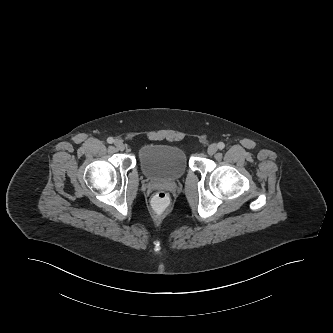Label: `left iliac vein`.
Instances as JSON below:
<instances>
[{
	"label": "left iliac vein",
	"instance_id": "obj_1",
	"mask_svg": "<svg viewBox=\"0 0 333 333\" xmlns=\"http://www.w3.org/2000/svg\"><path fill=\"white\" fill-rule=\"evenodd\" d=\"M218 150V147L216 144H211L209 145L208 149H207V152L209 155H214Z\"/></svg>",
	"mask_w": 333,
	"mask_h": 333
}]
</instances>
